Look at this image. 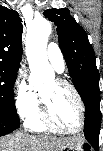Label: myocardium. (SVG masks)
<instances>
[{
  "instance_id": "1",
  "label": "myocardium",
  "mask_w": 103,
  "mask_h": 151,
  "mask_svg": "<svg viewBox=\"0 0 103 151\" xmlns=\"http://www.w3.org/2000/svg\"><path fill=\"white\" fill-rule=\"evenodd\" d=\"M55 82L58 86L69 89L73 93L74 97L76 98V101H77L79 109H80V118H81L80 124H79L78 128H76V129H65V128H62V127L58 126L57 124H55V122L52 120V118L50 116L49 107H48L46 101L41 96L40 115H41L42 122L49 130L57 132V133L77 134V133L82 132L86 126L87 113H86V106H85V103L83 101L81 94L76 89V87L74 85H72L70 82H68L67 80L57 79Z\"/></svg>"
}]
</instances>
